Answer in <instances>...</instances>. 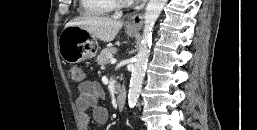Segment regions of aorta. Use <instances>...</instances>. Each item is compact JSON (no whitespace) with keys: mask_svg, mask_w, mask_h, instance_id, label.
Wrapping results in <instances>:
<instances>
[{"mask_svg":"<svg viewBox=\"0 0 257 130\" xmlns=\"http://www.w3.org/2000/svg\"><path fill=\"white\" fill-rule=\"evenodd\" d=\"M166 2L167 0H149L147 4L144 15V29L141 47L135 58L134 68L129 85L128 104L130 108H133L136 105L141 92L150 52L153 26Z\"/></svg>","mask_w":257,"mask_h":130,"instance_id":"aorta-1","label":"aorta"}]
</instances>
